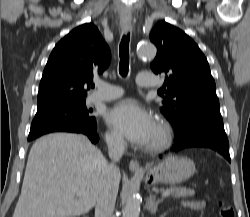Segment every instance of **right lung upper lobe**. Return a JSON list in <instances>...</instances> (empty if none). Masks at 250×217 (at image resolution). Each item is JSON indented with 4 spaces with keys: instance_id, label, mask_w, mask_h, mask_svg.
Returning <instances> with one entry per match:
<instances>
[{
    "instance_id": "1",
    "label": "right lung upper lobe",
    "mask_w": 250,
    "mask_h": 217,
    "mask_svg": "<svg viewBox=\"0 0 250 217\" xmlns=\"http://www.w3.org/2000/svg\"><path fill=\"white\" fill-rule=\"evenodd\" d=\"M111 52L92 24H83L57 43L39 86L38 109L56 103L84 99L93 75L109 65Z\"/></svg>"
}]
</instances>
